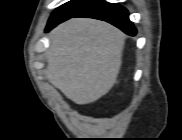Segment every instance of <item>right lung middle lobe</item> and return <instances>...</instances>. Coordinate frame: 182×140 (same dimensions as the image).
Returning <instances> with one entry per match:
<instances>
[{"label":"right lung middle lobe","instance_id":"dd1d6c3e","mask_svg":"<svg viewBox=\"0 0 182 140\" xmlns=\"http://www.w3.org/2000/svg\"><path fill=\"white\" fill-rule=\"evenodd\" d=\"M95 1L96 0H71L63 4L52 13L47 26L58 24L67 20L72 15L78 13Z\"/></svg>","mask_w":182,"mask_h":140}]
</instances>
